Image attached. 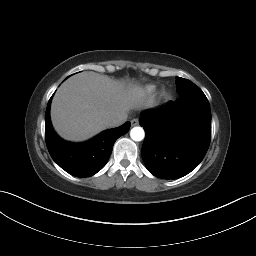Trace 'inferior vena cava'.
<instances>
[{
  "label": "inferior vena cava",
  "mask_w": 256,
  "mask_h": 256,
  "mask_svg": "<svg viewBox=\"0 0 256 256\" xmlns=\"http://www.w3.org/2000/svg\"><path fill=\"white\" fill-rule=\"evenodd\" d=\"M127 119L126 115L119 116L109 123V127H117L122 125Z\"/></svg>",
  "instance_id": "obj_1"
}]
</instances>
